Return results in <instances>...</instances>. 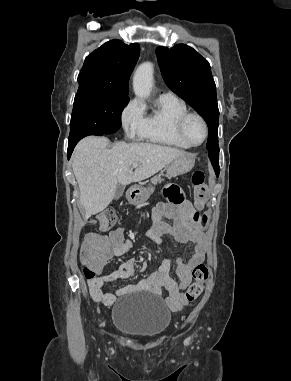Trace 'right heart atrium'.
<instances>
[{"label":"right heart atrium","mask_w":291,"mask_h":381,"mask_svg":"<svg viewBox=\"0 0 291 381\" xmlns=\"http://www.w3.org/2000/svg\"><path fill=\"white\" fill-rule=\"evenodd\" d=\"M143 112L137 100H130L121 112V123L128 136L138 134Z\"/></svg>","instance_id":"obj_1"}]
</instances>
